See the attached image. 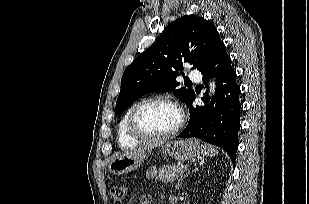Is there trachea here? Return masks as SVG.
Masks as SVG:
<instances>
[{
    "instance_id": "trachea-1",
    "label": "trachea",
    "mask_w": 309,
    "mask_h": 204,
    "mask_svg": "<svg viewBox=\"0 0 309 204\" xmlns=\"http://www.w3.org/2000/svg\"><path fill=\"white\" fill-rule=\"evenodd\" d=\"M185 83H191V81H186Z\"/></svg>"
}]
</instances>
